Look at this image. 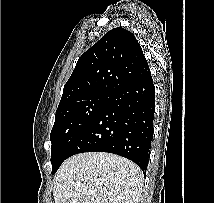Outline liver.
<instances>
[{"instance_id": "liver-1", "label": "liver", "mask_w": 214, "mask_h": 203, "mask_svg": "<svg viewBox=\"0 0 214 203\" xmlns=\"http://www.w3.org/2000/svg\"><path fill=\"white\" fill-rule=\"evenodd\" d=\"M144 175L132 161L106 152L68 158L58 169L55 203H138Z\"/></svg>"}]
</instances>
